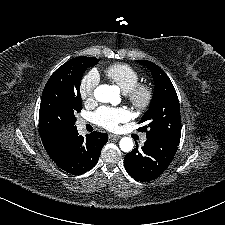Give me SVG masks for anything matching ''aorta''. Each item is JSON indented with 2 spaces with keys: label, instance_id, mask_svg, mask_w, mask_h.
Returning <instances> with one entry per match:
<instances>
[{
  "label": "aorta",
  "instance_id": "1",
  "mask_svg": "<svg viewBox=\"0 0 225 225\" xmlns=\"http://www.w3.org/2000/svg\"><path fill=\"white\" fill-rule=\"evenodd\" d=\"M94 97L97 101L102 103L117 104L120 100L118 88L106 84L96 87ZM133 146V140L129 137H124L119 142L120 149L126 153L132 151Z\"/></svg>",
  "mask_w": 225,
  "mask_h": 225
}]
</instances>
